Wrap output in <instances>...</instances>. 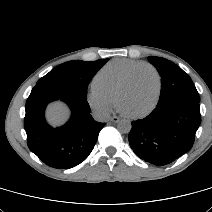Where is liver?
I'll use <instances>...</instances> for the list:
<instances>
[{
  "label": "liver",
  "instance_id": "1",
  "mask_svg": "<svg viewBox=\"0 0 212 212\" xmlns=\"http://www.w3.org/2000/svg\"><path fill=\"white\" fill-rule=\"evenodd\" d=\"M67 114L68 111L66 107L61 103H54L47 109V117L52 124L61 123L65 120Z\"/></svg>",
  "mask_w": 212,
  "mask_h": 212
}]
</instances>
